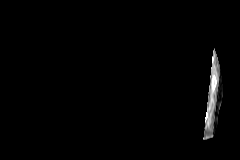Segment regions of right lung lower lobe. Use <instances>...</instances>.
Segmentation results:
<instances>
[{
	"label": "right lung lower lobe",
	"mask_w": 240,
	"mask_h": 160,
	"mask_svg": "<svg viewBox=\"0 0 240 160\" xmlns=\"http://www.w3.org/2000/svg\"><path fill=\"white\" fill-rule=\"evenodd\" d=\"M110 77H106L105 78V82L103 83L102 81L99 83L101 87H108L110 85V83L112 82V80L109 79Z\"/></svg>",
	"instance_id": "98d812e1"
}]
</instances>
